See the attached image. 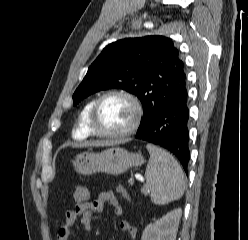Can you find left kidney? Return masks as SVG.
<instances>
[{"label":"left kidney","instance_id":"obj_1","mask_svg":"<svg viewBox=\"0 0 248 240\" xmlns=\"http://www.w3.org/2000/svg\"><path fill=\"white\" fill-rule=\"evenodd\" d=\"M182 210L175 209L147 225L141 240H176Z\"/></svg>","mask_w":248,"mask_h":240}]
</instances>
